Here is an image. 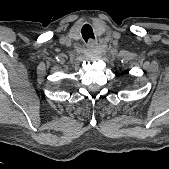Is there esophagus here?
<instances>
[{"mask_svg":"<svg viewBox=\"0 0 169 169\" xmlns=\"http://www.w3.org/2000/svg\"><path fill=\"white\" fill-rule=\"evenodd\" d=\"M95 45H96V41H95V40L90 39V40L88 41V47H94Z\"/></svg>","mask_w":169,"mask_h":169,"instance_id":"34e87169","label":"esophagus"}]
</instances>
